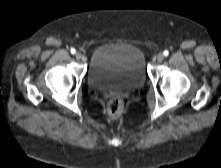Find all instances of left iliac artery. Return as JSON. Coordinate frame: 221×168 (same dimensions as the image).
I'll return each instance as SVG.
<instances>
[{
	"mask_svg": "<svg viewBox=\"0 0 221 168\" xmlns=\"http://www.w3.org/2000/svg\"><path fill=\"white\" fill-rule=\"evenodd\" d=\"M163 54H164V56H168V55H169V52H168L167 50H165V51L163 52Z\"/></svg>",
	"mask_w": 221,
	"mask_h": 168,
	"instance_id": "obj_1",
	"label": "left iliac artery"
}]
</instances>
